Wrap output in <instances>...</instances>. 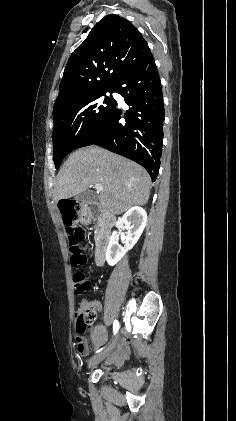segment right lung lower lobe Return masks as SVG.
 Segmentation results:
<instances>
[{
  "label": "right lung lower lobe",
  "mask_w": 236,
  "mask_h": 421,
  "mask_svg": "<svg viewBox=\"0 0 236 421\" xmlns=\"http://www.w3.org/2000/svg\"><path fill=\"white\" fill-rule=\"evenodd\" d=\"M114 91L129 109L115 107L105 121L77 148L97 144L142 165L154 182L163 145L164 103L153 56L132 67L116 81Z\"/></svg>",
  "instance_id": "1"
}]
</instances>
